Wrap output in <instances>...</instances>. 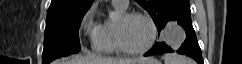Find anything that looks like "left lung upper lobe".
<instances>
[{
    "label": "left lung upper lobe",
    "instance_id": "left-lung-upper-lobe-1",
    "mask_svg": "<svg viewBox=\"0 0 242 64\" xmlns=\"http://www.w3.org/2000/svg\"><path fill=\"white\" fill-rule=\"evenodd\" d=\"M151 15L158 34L168 21L191 13L189 0H136Z\"/></svg>",
    "mask_w": 242,
    "mask_h": 64
}]
</instances>
